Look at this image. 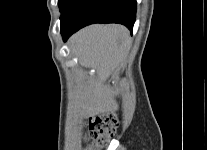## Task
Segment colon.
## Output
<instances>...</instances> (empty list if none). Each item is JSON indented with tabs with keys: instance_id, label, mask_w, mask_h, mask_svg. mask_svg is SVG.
<instances>
[{
	"instance_id": "5ec220e1",
	"label": "colon",
	"mask_w": 207,
	"mask_h": 150,
	"mask_svg": "<svg viewBox=\"0 0 207 150\" xmlns=\"http://www.w3.org/2000/svg\"><path fill=\"white\" fill-rule=\"evenodd\" d=\"M119 121L114 113L91 116L87 121V142L84 150H101L116 133Z\"/></svg>"
}]
</instances>
